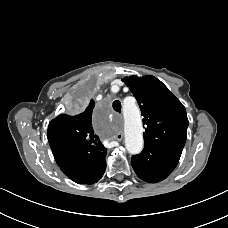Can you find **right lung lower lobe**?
Wrapping results in <instances>:
<instances>
[{"label": "right lung lower lobe", "mask_w": 228, "mask_h": 228, "mask_svg": "<svg viewBox=\"0 0 228 228\" xmlns=\"http://www.w3.org/2000/svg\"><path fill=\"white\" fill-rule=\"evenodd\" d=\"M53 154L63 173L79 184L96 183L106 169V150L77 146Z\"/></svg>", "instance_id": "obj_1"}]
</instances>
